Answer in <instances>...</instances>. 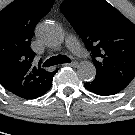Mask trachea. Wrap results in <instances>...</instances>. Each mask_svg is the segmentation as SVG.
Masks as SVG:
<instances>
[{"mask_svg":"<svg viewBox=\"0 0 135 135\" xmlns=\"http://www.w3.org/2000/svg\"><path fill=\"white\" fill-rule=\"evenodd\" d=\"M71 60L65 55L53 56L46 60L43 64L44 67H49L57 64L70 63Z\"/></svg>","mask_w":135,"mask_h":135,"instance_id":"obj_1","label":"trachea"}]
</instances>
